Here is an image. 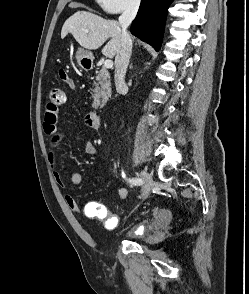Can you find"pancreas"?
<instances>
[{
    "mask_svg": "<svg viewBox=\"0 0 249 294\" xmlns=\"http://www.w3.org/2000/svg\"><path fill=\"white\" fill-rule=\"evenodd\" d=\"M109 77L110 74L105 67L98 71L95 76V81L93 82L95 88L92 96L94 99L93 108L95 109L103 107L108 101V98L111 97V83Z\"/></svg>",
    "mask_w": 249,
    "mask_h": 294,
    "instance_id": "1",
    "label": "pancreas"
}]
</instances>
